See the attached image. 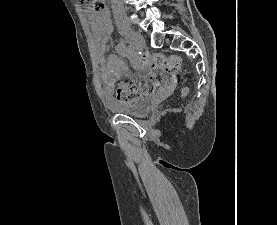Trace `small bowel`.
Returning <instances> with one entry per match:
<instances>
[{"label": "small bowel", "mask_w": 277, "mask_h": 225, "mask_svg": "<svg viewBox=\"0 0 277 225\" xmlns=\"http://www.w3.org/2000/svg\"><path fill=\"white\" fill-rule=\"evenodd\" d=\"M90 21L93 31V47L96 52L99 68L101 71V80L104 88L111 86L117 79L127 74L128 65L122 59L132 58V51L127 47L124 41L117 42L115 49L118 55H111L105 58V42L110 38L113 31V25L107 9L103 8L99 12L90 10ZM134 68H139L135 62L132 63ZM175 79L164 77L166 86L173 85Z\"/></svg>", "instance_id": "obj_1"}]
</instances>
